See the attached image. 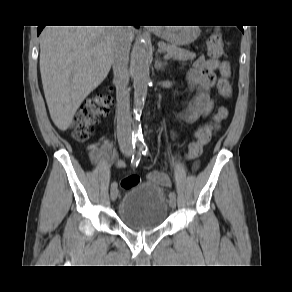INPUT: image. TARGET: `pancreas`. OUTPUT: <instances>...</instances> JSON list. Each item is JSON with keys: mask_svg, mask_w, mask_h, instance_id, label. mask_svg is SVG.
Returning <instances> with one entry per match:
<instances>
[{"mask_svg": "<svg viewBox=\"0 0 292 292\" xmlns=\"http://www.w3.org/2000/svg\"><path fill=\"white\" fill-rule=\"evenodd\" d=\"M159 47L166 53L168 57H173L175 60L187 61L193 60L196 57L195 53L177 47L176 45L160 42Z\"/></svg>", "mask_w": 292, "mask_h": 292, "instance_id": "cf45deb5", "label": "pancreas"}]
</instances>
